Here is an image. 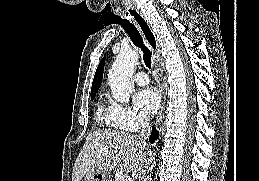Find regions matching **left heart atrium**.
Returning a JSON list of instances; mask_svg holds the SVG:
<instances>
[{
	"label": "left heart atrium",
	"instance_id": "1",
	"mask_svg": "<svg viewBox=\"0 0 259 181\" xmlns=\"http://www.w3.org/2000/svg\"><path fill=\"white\" fill-rule=\"evenodd\" d=\"M134 102L144 115L151 116L158 110L161 97L156 88L146 87L135 94Z\"/></svg>",
	"mask_w": 259,
	"mask_h": 181
}]
</instances>
